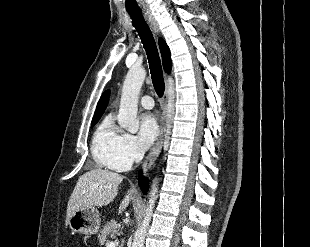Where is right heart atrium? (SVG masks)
Listing matches in <instances>:
<instances>
[{
	"instance_id": "obj_1",
	"label": "right heart atrium",
	"mask_w": 310,
	"mask_h": 247,
	"mask_svg": "<svg viewBox=\"0 0 310 247\" xmlns=\"http://www.w3.org/2000/svg\"><path fill=\"white\" fill-rule=\"evenodd\" d=\"M142 155L137 139L129 133H122L113 160L117 170H126Z\"/></svg>"
}]
</instances>
